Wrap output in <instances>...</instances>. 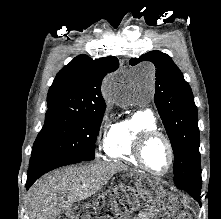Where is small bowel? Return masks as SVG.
Masks as SVG:
<instances>
[{"label":"small bowel","instance_id":"obj_1","mask_svg":"<svg viewBox=\"0 0 221 219\" xmlns=\"http://www.w3.org/2000/svg\"><path fill=\"white\" fill-rule=\"evenodd\" d=\"M156 210L152 207L142 210L137 216L132 219H155Z\"/></svg>","mask_w":221,"mask_h":219}]
</instances>
